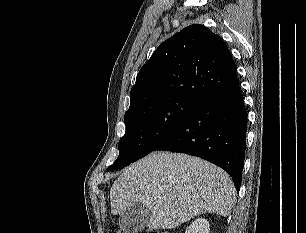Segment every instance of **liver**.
<instances>
[{
  "label": "liver",
  "mask_w": 306,
  "mask_h": 233,
  "mask_svg": "<svg viewBox=\"0 0 306 233\" xmlns=\"http://www.w3.org/2000/svg\"><path fill=\"white\" fill-rule=\"evenodd\" d=\"M235 196L230 176L214 164L182 153L153 152L114 182L111 213L143 205L151 211L149 229H171L203 213L228 216Z\"/></svg>",
  "instance_id": "1"
}]
</instances>
